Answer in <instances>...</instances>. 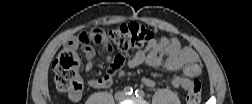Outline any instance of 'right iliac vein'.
<instances>
[{"label":"right iliac vein","instance_id":"obj_1","mask_svg":"<svg viewBox=\"0 0 252 104\" xmlns=\"http://www.w3.org/2000/svg\"><path fill=\"white\" fill-rule=\"evenodd\" d=\"M124 97H125V95H124V93H122V92H118V93H116V95H115V98H116V100H118V101L122 100Z\"/></svg>","mask_w":252,"mask_h":104}]
</instances>
